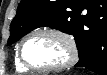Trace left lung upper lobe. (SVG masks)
Wrapping results in <instances>:
<instances>
[{
	"instance_id": "5c2ea615",
	"label": "left lung upper lobe",
	"mask_w": 107,
	"mask_h": 75,
	"mask_svg": "<svg viewBox=\"0 0 107 75\" xmlns=\"http://www.w3.org/2000/svg\"><path fill=\"white\" fill-rule=\"evenodd\" d=\"M85 3L86 0H22L10 26L8 44L35 28L49 26L72 34L80 57L84 35L107 40V17L97 16Z\"/></svg>"
}]
</instances>
